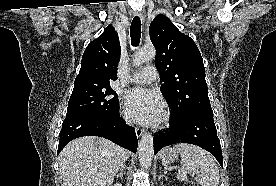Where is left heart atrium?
<instances>
[{"instance_id": "left-heart-atrium-1", "label": "left heart atrium", "mask_w": 276, "mask_h": 186, "mask_svg": "<svg viewBox=\"0 0 276 186\" xmlns=\"http://www.w3.org/2000/svg\"><path fill=\"white\" fill-rule=\"evenodd\" d=\"M162 111L160 98L154 92L135 88L125 95V112L133 120L140 123H153Z\"/></svg>"}]
</instances>
